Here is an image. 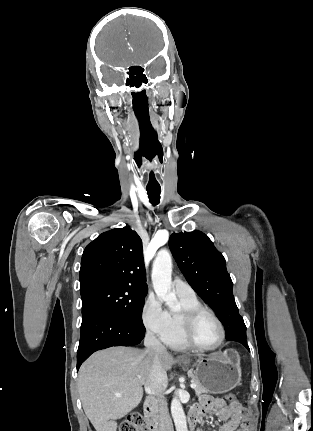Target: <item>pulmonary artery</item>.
<instances>
[{"mask_svg":"<svg viewBox=\"0 0 313 431\" xmlns=\"http://www.w3.org/2000/svg\"><path fill=\"white\" fill-rule=\"evenodd\" d=\"M172 287L177 295L188 297L195 296L193 288L180 278H175L173 280Z\"/></svg>","mask_w":313,"mask_h":431,"instance_id":"1","label":"pulmonary artery"}]
</instances>
